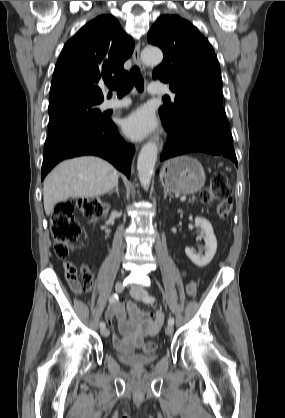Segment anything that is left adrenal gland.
Wrapping results in <instances>:
<instances>
[{"instance_id": "obj_1", "label": "left adrenal gland", "mask_w": 285, "mask_h": 418, "mask_svg": "<svg viewBox=\"0 0 285 418\" xmlns=\"http://www.w3.org/2000/svg\"><path fill=\"white\" fill-rule=\"evenodd\" d=\"M168 195H169L170 197H172L171 193H170L168 190H166V189H165V190H164V199H166V197H167Z\"/></svg>"}]
</instances>
